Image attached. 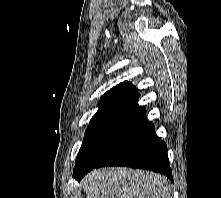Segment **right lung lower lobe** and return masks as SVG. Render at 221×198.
Wrapping results in <instances>:
<instances>
[{
  "label": "right lung lower lobe",
  "mask_w": 221,
  "mask_h": 198,
  "mask_svg": "<svg viewBox=\"0 0 221 198\" xmlns=\"http://www.w3.org/2000/svg\"><path fill=\"white\" fill-rule=\"evenodd\" d=\"M125 166L152 170L172 180L167 146L154 132L152 123L145 122L138 133L96 167ZM88 173V172H87ZM84 175L79 176L80 180Z\"/></svg>",
  "instance_id": "1"
}]
</instances>
